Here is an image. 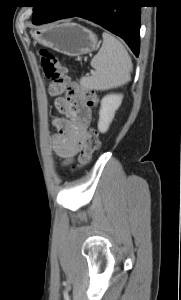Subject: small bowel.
Masks as SVG:
<instances>
[{
	"instance_id": "c3829d8e",
	"label": "small bowel",
	"mask_w": 181,
	"mask_h": 300,
	"mask_svg": "<svg viewBox=\"0 0 181 300\" xmlns=\"http://www.w3.org/2000/svg\"><path fill=\"white\" fill-rule=\"evenodd\" d=\"M55 106L62 113L69 106L70 114L53 121L57 133L52 138L53 148L63 159L70 161L81 149L83 138L90 120V109L82 100L58 97ZM63 114V113H62Z\"/></svg>"
}]
</instances>
